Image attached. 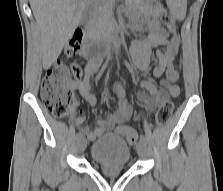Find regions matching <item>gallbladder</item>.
<instances>
[{"label": "gallbladder", "instance_id": "1", "mask_svg": "<svg viewBox=\"0 0 223 191\" xmlns=\"http://www.w3.org/2000/svg\"><path fill=\"white\" fill-rule=\"evenodd\" d=\"M87 14H88L87 11H85L83 14V19H85L87 17Z\"/></svg>", "mask_w": 223, "mask_h": 191}]
</instances>
